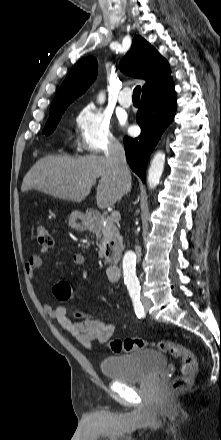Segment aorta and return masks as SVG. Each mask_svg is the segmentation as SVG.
Returning a JSON list of instances; mask_svg holds the SVG:
<instances>
[{"mask_svg": "<svg viewBox=\"0 0 221 440\" xmlns=\"http://www.w3.org/2000/svg\"><path fill=\"white\" fill-rule=\"evenodd\" d=\"M104 101V95H99V102ZM165 163V154L158 151L150 164L148 170V184L150 188H154L158 185L163 173ZM136 255L132 251L125 253L123 258V275L124 282L129 291H138L140 286L136 276Z\"/></svg>", "mask_w": 221, "mask_h": 440, "instance_id": "762f6f07", "label": "aorta"}]
</instances>
